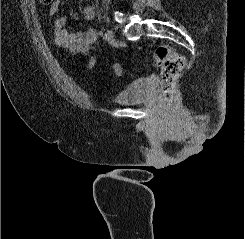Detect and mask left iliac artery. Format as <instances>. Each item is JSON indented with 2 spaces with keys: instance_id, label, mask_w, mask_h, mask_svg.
Wrapping results in <instances>:
<instances>
[{
  "instance_id": "44dca946",
  "label": "left iliac artery",
  "mask_w": 245,
  "mask_h": 239,
  "mask_svg": "<svg viewBox=\"0 0 245 239\" xmlns=\"http://www.w3.org/2000/svg\"><path fill=\"white\" fill-rule=\"evenodd\" d=\"M98 35H99L100 37H103V35H104V28H101V29L98 31Z\"/></svg>"
}]
</instances>
